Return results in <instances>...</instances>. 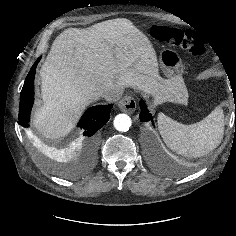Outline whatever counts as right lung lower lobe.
<instances>
[{"label":"right lung lower lobe","instance_id":"98d812e1","mask_svg":"<svg viewBox=\"0 0 236 236\" xmlns=\"http://www.w3.org/2000/svg\"><path fill=\"white\" fill-rule=\"evenodd\" d=\"M40 58L34 63L28 73L20 96L19 124L23 127L29 126L31 108L34 102V76L36 66ZM113 104L94 106L88 109L81 117L78 126L82 129V135L78 144L89 154L94 151L96 144L95 133L109 120Z\"/></svg>","mask_w":236,"mask_h":236}]
</instances>
